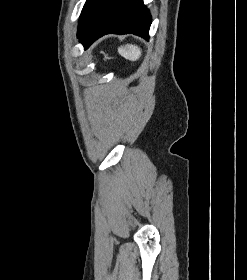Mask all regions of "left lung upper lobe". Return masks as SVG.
Returning <instances> with one entry per match:
<instances>
[{"label": "left lung upper lobe", "instance_id": "1", "mask_svg": "<svg viewBox=\"0 0 247 280\" xmlns=\"http://www.w3.org/2000/svg\"><path fill=\"white\" fill-rule=\"evenodd\" d=\"M101 0H87L82 12H81V16H80V22H79V29L82 27V25L84 24L86 18L88 17V15L90 14V12L93 10V8L100 2Z\"/></svg>", "mask_w": 247, "mask_h": 280}]
</instances>
